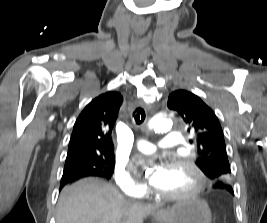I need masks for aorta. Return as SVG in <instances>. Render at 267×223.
I'll use <instances>...</instances> for the list:
<instances>
[{
	"instance_id": "aorta-1",
	"label": "aorta",
	"mask_w": 267,
	"mask_h": 223,
	"mask_svg": "<svg viewBox=\"0 0 267 223\" xmlns=\"http://www.w3.org/2000/svg\"><path fill=\"white\" fill-rule=\"evenodd\" d=\"M149 128L154 129L155 131H168L171 129L172 127V121L168 118H155L152 119L149 124H148ZM150 172L151 169H147V172Z\"/></svg>"
}]
</instances>
